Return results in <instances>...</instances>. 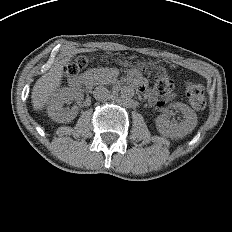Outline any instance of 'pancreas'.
Segmentation results:
<instances>
[{
  "instance_id": "1",
  "label": "pancreas",
  "mask_w": 232,
  "mask_h": 232,
  "mask_svg": "<svg viewBox=\"0 0 232 232\" xmlns=\"http://www.w3.org/2000/svg\"><path fill=\"white\" fill-rule=\"evenodd\" d=\"M102 74H104L105 76H110L108 73H106V71H102Z\"/></svg>"
}]
</instances>
